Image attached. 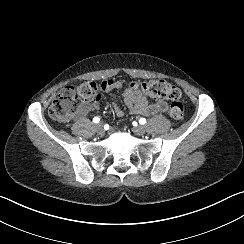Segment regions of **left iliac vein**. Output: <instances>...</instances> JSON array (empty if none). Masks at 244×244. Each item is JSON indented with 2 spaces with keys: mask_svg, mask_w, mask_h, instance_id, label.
<instances>
[{
  "mask_svg": "<svg viewBox=\"0 0 244 244\" xmlns=\"http://www.w3.org/2000/svg\"><path fill=\"white\" fill-rule=\"evenodd\" d=\"M133 132L135 133V135L137 136H142L145 134L146 130L144 126H136L133 128Z\"/></svg>",
  "mask_w": 244,
  "mask_h": 244,
  "instance_id": "1",
  "label": "left iliac vein"
}]
</instances>
